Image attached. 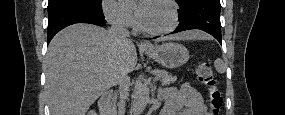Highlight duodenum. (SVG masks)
Instances as JSON below:
<instances>
[{
    "instance_id": "duodenum-1",
    "label": "duodenum",
    "mask_w": 285,
    "mask_h": 115,
    "mask_svg": "<svg viewBox=\"0 0 285 115\" xmlns=\"http://www.w3.org/2000/svg\"><path fill=\"white\" fill-rule=\"evenodd\" d=\"M100 115H113L114 112L111 106L110 93L107 91L102 93L98 101Z\"/></svg>"
}]
</instances>
